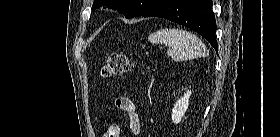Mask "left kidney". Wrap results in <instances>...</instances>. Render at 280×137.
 I'll return each mask as SVG.
<instances>
[{
	"mask_svg": "<svg viewBox=\"0 0 280 137\" xmlns=\"http://www.w3.org/2000/svg\"><path fill=\"white\" fill-rule=\"evenodd\" d=\"M190 96H191V90L187 89V91H186V93H184L183 97L178 99L176 101V103L174 104V107L172 109V121L175 124L180 123L182 118L184 117L185 112L188 109Z\"/></svg>",
	"mask_w": 280,
	"mask_h": 137,
	"instance_id": "obj_1",
	"label": "left kidney"
}]
</instances>
